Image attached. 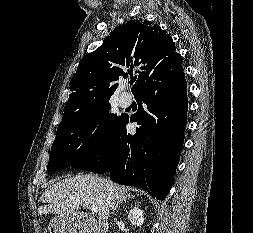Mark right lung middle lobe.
I'll list each match as a JSON object with an SVG mask.
<instances>
[{
    "label": "right lung middle lobe",
    "instance_id": "right-lung-middle-lobe-1",
    "mask_svg": "<svg viewBox=\"0 0 253 233\" xmlns=\"http://www.w3.org/2000/svg\"><path fill=\"white\" fill-rule=\"evenodd\" d=\"M109 110L110 104L106 101L62 119L51 148L49 174L92 158L107 145L123 118V115L109 114Z\"/></svg>",
    "mask_w": 253,
    "mask_h": 233
}]
</instances>
